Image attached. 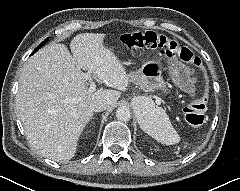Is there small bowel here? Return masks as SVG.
I'll list each match as a JSON object with an SVG mask.
<instances>
[{"instance_id": "1", "label": "small bowel", "mask_w": 240, "mask_h": 191, "mask_svg": "<svg viewBox=\"0 0 240 191\" xmlns=\"http://www.w3.org/2000/svg\"><path fill=\"white\" fill-rule=\"evenodd\" d=\"M176 70H177V73L179 75V82H180L181 86L187 92H192L193 91L194 79L192 77L191 69L186 67V66H180Z\"/></svg>"}]
</instances>
